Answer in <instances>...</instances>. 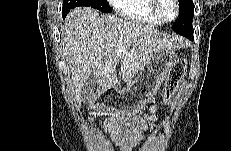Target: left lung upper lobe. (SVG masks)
Instances as JSON below:
<instances>
[{"mask_svg": "<svg viewBox=\"0 0 231 151\" xmlns=\"http://www.w3.org/2000/svg\"><path fill=\"white\" fill-rule=\"evenodd\" d=\"M179 7V18L172 29L183 36H187L193 32L194 4L192 0H179Z\"/></svg>", "mask_w": 231, "mask_h": 151, "instance_id": "left-lung-upper-lobe-1", "label": "left lung upper lobe"}]
</instances>
